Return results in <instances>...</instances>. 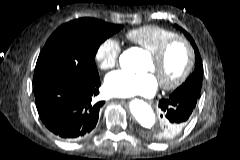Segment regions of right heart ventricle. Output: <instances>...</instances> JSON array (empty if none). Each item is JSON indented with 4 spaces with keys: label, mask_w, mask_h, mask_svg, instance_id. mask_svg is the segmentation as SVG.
I'll list each match as a JSON object with an SVG mask.
<instances>
[{
    "label": "right heart ventricle",
    "mask_w": 240,
    "mask_h": 160,
    "mask_svg": "<svg viewBox=\"0 0 240 160\" xmlns=\"http://www.w3.org/2000/svg\"><path fill=\"white\" fill-rule=\"evenodd\" d=\"M175 36L177 34L173 30L157 25L142 26L126 34L131 43L149 53L156 51L166 40Z\"/></svg>",
    "instance_id": "obj_1"
}]
</instances>
